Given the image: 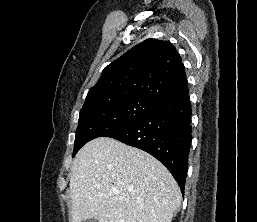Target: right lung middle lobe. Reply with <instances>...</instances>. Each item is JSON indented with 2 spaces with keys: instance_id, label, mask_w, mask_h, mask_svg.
I'll return each mask as SVG.
<instances>
[{
  "instance_id": "1",
  "label": "right lung middle lobe",
  "mask_w": 257,
  "mask_h": 222,
  "mask_svg": "<svg viewBox=\"0 0 257 222\" xmlns=\"http://www.w3.org/2000/svg\"><path fill=\"white\" fill-rule=\"evenodd\" d=\"M159 103L144 97L94 99L84 103L79 114L73 156L88 141L111 136L151 112Z\"/></svg>"
}]
</instances>
